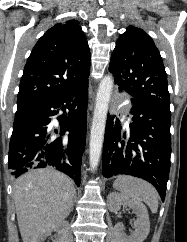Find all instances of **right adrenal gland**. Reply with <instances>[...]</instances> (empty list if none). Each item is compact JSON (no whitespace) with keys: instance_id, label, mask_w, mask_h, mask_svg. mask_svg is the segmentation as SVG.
Listing matches in <instances>:
<instances>
[{"instance_id":"1","label":"right adrenal gland","mask_w":187,"mask_h":242,"mask_svg":"<svg viewBox=\"0 0 187 242\" xmlns=\"http://www.w3.org/2000/svg\"><path fill=\"white\" fill-rule=\"evenodd\" d=\"M75 198H76V196H74V201L76 200ZM74 201H73L72 209H73V206H74Z\"/></svg>"}]
</instances>
